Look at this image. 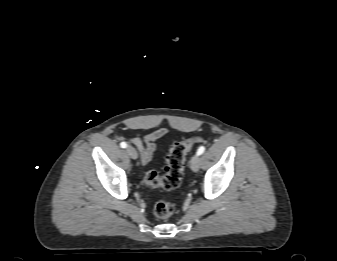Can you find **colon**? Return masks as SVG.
Returning a JSON list of instances; mask_svg holds the SVG:
<instances>
[{
    "instance_id": "obj_1",
    "label": "colon",
    "mask_w": 337,
    "mask_h": 261,
    "mask_svg": "<svg viewBox=\"0 0 337 261\" xmlns=\"http://www.w3.org/2000/svg\"><path fill=\"white\" fill-rule=\"evenodd\" d=\"M200 137H191L175 142L167 156L165 173L160 176L155 171H148L144 176L146 186L151 189L174 190L178 188L182 181L184 163L187 153L195 143L201 142ZM154 215L159 219H167L176 213L175 204L167 201H160L153 208Z\"/></svg>"
}]
</instances>
